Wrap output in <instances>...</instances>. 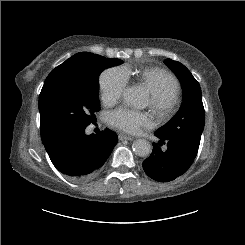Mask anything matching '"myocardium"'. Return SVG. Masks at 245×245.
<instances>
[{"label":"myocardium","instance_id":"f54148a6","mask_svg":"<svg viewBox=\"0 0 245 245\" xmlns=\"http://www.w3.org/2000/svg\"><path fill=\"white\" fill-rule=\"evenodd\" d=\"M149 105L158 117L167 118L176 108L177 95L169 87L151 91Z\"/></svg>","mask_w":245,"mask_h":245}]
</instances>
